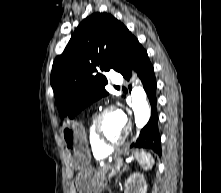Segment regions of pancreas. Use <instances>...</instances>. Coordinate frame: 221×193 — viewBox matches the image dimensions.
<instances>
[{"label": "pancreas", "instance_id": "pancreas-1", "mask_svg": "<svg viewBox=\"0 0 221 193\" xmlns=\"http://www.w3.org/2000/svg\"><path fill=\"white\" fill-rule=\"evenodd\" d=\"M111 169L113 167L110 165H105L98 169L95 177L96 192H101L106 187L107 181L110 180L107 174Z\"/></svg>", "mask_w": 221, "mask_h": 193}]
</instances>
